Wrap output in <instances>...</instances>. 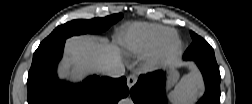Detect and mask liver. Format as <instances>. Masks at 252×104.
I'll list each match as a JSON object with an SVG mask.
<instances>
[{"instance_id": "liver-1", "label": "liver", "mask_w": 252, "mask_h": 104, "mask_svg": "<svg viewBox=\"0 0 252 104\" xmlns=\"http://www.w3.org/2000/svg\"><path fill=\"white\" fill-rule=\"evenodd\" d=\"M121 62L119 49L106 42H97L91 36L67 40L60 76L81 80L87 73L103 72L109 65Z\"/></svg>"}]
</instances>
